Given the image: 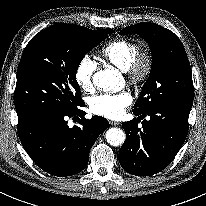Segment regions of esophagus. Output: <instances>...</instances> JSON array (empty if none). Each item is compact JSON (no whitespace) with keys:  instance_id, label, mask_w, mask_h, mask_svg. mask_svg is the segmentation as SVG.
<instances>
[{"instance_id":"obj_1","label":"esophagus","mask_w":206,"mask_h":206,"mask_svg":"<svg viewBox=\"0 0 206 206\" xmlns=\"http://www.w3.org/2000/svg\"><path fill=\"white\" fill-rule=\"evenodd\" d=\"M110 124H111V125H114V126H117V125L120 124V122H118V121H110Z\"/></svg>"}]
</instances>
